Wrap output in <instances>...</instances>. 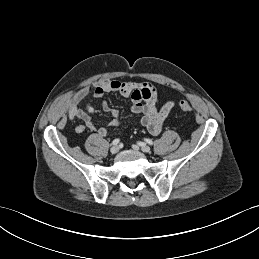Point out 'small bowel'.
<instances>
[{
    "label": "small bowel",
    "mask_w": 259,
    "mask_h": 259,
    "mask_svg": "<svg viewBox=\"0 0 259 259\" xmlns=\"http://www.w3.org/2000/svg\"><path fill=\"white\" fill-rule=\"evenodd\" d=\"M91 92L97 98H102L107 93H119L124 97H129L132 101V111L140 115L139 123L152 135H158L161 132L164 121L175 106L172 100L161 103L158 90L148 82L104 80L97 83L93 88L84 86L65 100L64 107L69 119L81 121L76 126L78 133L89 130L95 132L99 137L107 136V127L97 128L91 115L94 109L89 108L85 111L79 106ZM101 108L111 117L108 126H117L120 121L119 111L106 101L102 102Z\"/></svg>",
    "instance_id": "c3829d8e"
}]
</instances>
